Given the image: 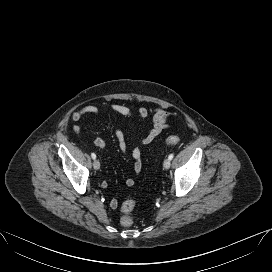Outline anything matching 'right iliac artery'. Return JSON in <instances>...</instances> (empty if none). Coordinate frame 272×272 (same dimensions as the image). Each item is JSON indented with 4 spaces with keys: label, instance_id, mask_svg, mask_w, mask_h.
Wrapping results in <instances>:
<instances>
[{
    "label": "right iliac artery",
    "instance_id": "1",
    "mask_svg": "<svg viewBox=\"0 0 272 272\" xmlns=\"http://www.w3.org/2000/svg\"><path fill=\"white\" fill-rule=\"evenodd\" d=\"M91 157H92V159H96L95 153H91Z\"/></svg>",
    "mask_w": 272,
    "mask_h": 272
}]
</instances>
